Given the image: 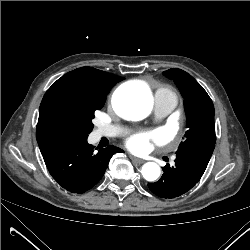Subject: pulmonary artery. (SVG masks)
Masks as SVG:
<instances>
[{
	"mask_svg": "<svg viewBox=\"0 0 250 250\" xmlns=\"http://www.w3.org/2000/svg\"><path fill=\"white\" fill-rule=\"evenodd\" d=\"M176 103L173 100L165 98H156L154 104V114L157 119L163 118L170 114L175 108ZM122 129L118 126H104L98 130L99 136H114L121 133Z\"/></svg>",
	"mask_w": 250,
	"mask_h": 250,
	"instance_id": "1",
	"label": "pulmonary artery"
}]
</instances>
